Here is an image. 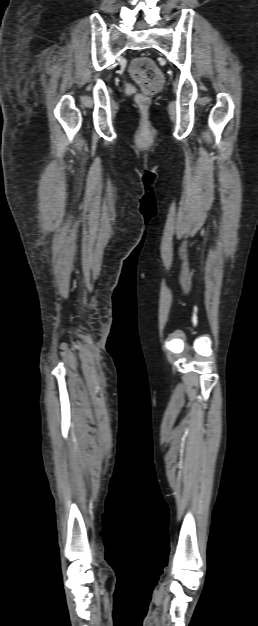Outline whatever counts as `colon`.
<instances>
[{"mask_svg": "<svg viewBox=\"0 0 258 626\" xmlns=\"http://www.w3.org/2000/svg\"><path fill=\"white\" fill-rule=\"evenodd\" d=\"M130 74L141 88V92L136 95V103L142 111H147L151 105V96L162 86V72L152 59L138 57L130 65Z\"/></svg>", "mask_w": 258, "mask_h": 626, "instance_id": "colon-1", "label": "colon"}]
</instances>
